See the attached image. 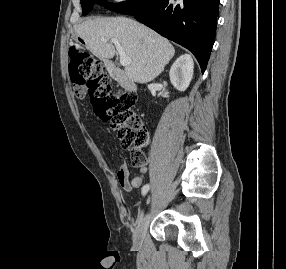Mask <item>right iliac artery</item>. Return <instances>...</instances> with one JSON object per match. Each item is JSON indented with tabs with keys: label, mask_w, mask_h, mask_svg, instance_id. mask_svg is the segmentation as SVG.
Listing matches in <instances>:
<instances>
[{
	"label": "right iliac artery",
	"mask_w": 286,
	"mask_h": 269,
	"mask_svg": "<svg viewBox=\"0 0 286 269\" xmlns=\"http://www.w3.org/2000/svg\"><path fill=\"white\" fill-rule=\"evenodd\" d=\"M149 188H150V187H149V184H145V185L142 187V194H143V195H146V193L148 192ZM143 215H144V212L142 211L141 214H140L139 222L142 220Z\"/></svg>",
	"instance_id": "obj_1"
}]
</instances>
